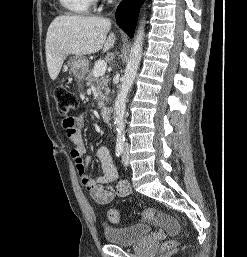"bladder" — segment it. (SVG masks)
Instances as JSON below:
<instances>
[{"instance_id": "obj_1", "label": "bladder", "mask_w": 247, "mask_h": 257, "mask_svg": "<svg viewBox=\"0 0 247 257\" xmlns=\"http://www.w3.org/2000/svg\"><path fill=\"white\" fill-rule=\"evenodd\" d=\"M151 232L150 226L146 224H135L127 227H105L104 235L106 240L119 246L133 245Z\"/></svg>"}]
</instances>
